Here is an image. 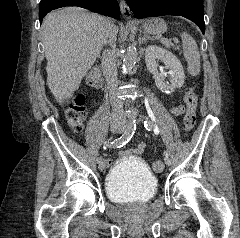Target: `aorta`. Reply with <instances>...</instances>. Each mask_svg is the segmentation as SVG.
I'll return each instance as SVG.
<instances>
[{"label": "aorta", "mask_w": 240, "mask_h": 238, "mask_svg": "<svg viewBox=\"0 0 240 238\" xmlns=\"http://www.w3.org/2000/svg\"><path fill=\"white\" fill-rule=\"evenodd\" d=\"M138 59V50L135 43L129 45L123 59V71L129 72L135 65Z\"/></svg>", "instance_id": "aorta-1"}]
</instances>
